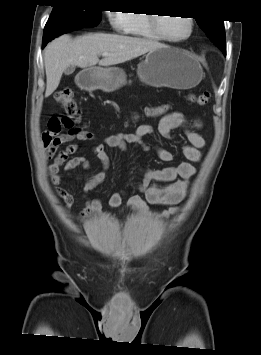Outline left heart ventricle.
Returning a JSON list of instances; mask_svg holds the SVG:
<instances>
[{
  "label": "left heart ventricle",
  "mask_w": 261,
  "mask_h": 355,
  "mask_svg": "<svg viewBox=\"0 0 261 355\" xmlns=\"http://www.w3.org/2000/svg\"><path fill=\"white\" fill-rule=\"evenodd\" d=\"M160 27L164 35L173 39L186 36L190 29L186 17L176 16L161 18Z\"/></svg>",
  "instance_id": "1"
}]
</instances>
